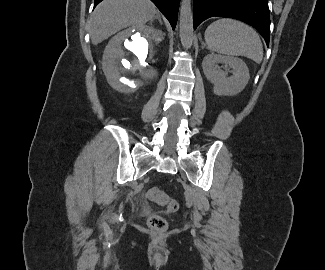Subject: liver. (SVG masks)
<instances>
[{"mask_svg": "<svg viewBox=\"0 0 325 270\" xmlns=\"http://www.w3.org/2000/svg\"><path fill=\"white\" fill-rule=\"evenodd\" d=\"M156 13L150 0H103L89 23L92 44L97 45L129 26H143Z\"/></svg>", "mask_w": 325, "mask_h": 270, "instance_id": "1", "label": "liver"}]
</instances>
